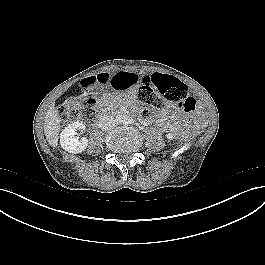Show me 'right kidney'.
<instances>
[{"mask_svg": "<svg viewBox=\"0 0 265 265\" xmlns=\"http://www.w3.org/2000/svg\"><path fill=\"white\" fill-rule=\"evenodd\" d=\"M85 130V125L82 122H74L69 124L60 134L61 147L69 153H81L88 145V139L83 137L81 140L75 137V131Z\"/></svg>", "mask_w": 265, "mask_h": 265, "instance_id": "ca27d5eb", "label": "right kidney"}]
</instances>
